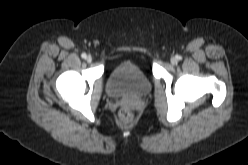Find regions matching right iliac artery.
I'll list each match as a JSON object with an SVG mask.
<instances>
[{"mask_svg":"<svg viewBox=\"0 0 248 165\" xmlns=\"http://www.w3.org/2000/svg\"><path fill=\"white\" fill-rule=\"evenodd\" d=\"M86 56H87L86 53H82V54H81V57H82V58H86Z\"/></svg>","mask_w":248,"mask_h":165,"instance_id":"right-iliac-artery-1","label":"right iliac artery"}]
</instances>
